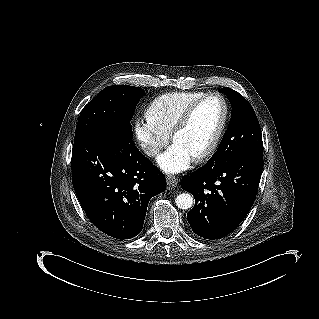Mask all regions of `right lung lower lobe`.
<instances>
[{"label":"right lung lower lobe","mask_w":319,"mask_h":319,"mask_svg":"<svg viewBox=\"0 0 319 319\" xmlns=\"http://www.w3.org/2000/svg\"><path fill=\"white\" fill-rule=\"evenodd\" d=\"M72 182L91 222L117 239L137 236L149 200L166 189L165 176L134 143L117 136L73 145Z\"/></svg>","instance_id":"right-lung-lower-lobe-1"}]
</instances>
